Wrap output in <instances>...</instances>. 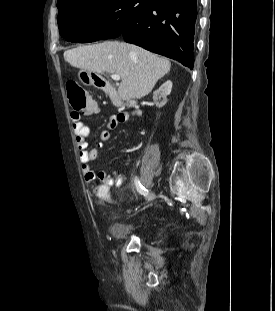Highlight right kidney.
Here are the masks:
<instances>
[{
    "instance_id": "1",
    "label": "right kidney",
    "mask_w": 275,
    "mask_h": 311,
    "mask_svg": "<svg viewBox=\"0 0 275 311\" xmlns=\"http://www.w3.org/2000/svg\"><path fill=\"white\" fill-rule=\"evenodd\" d=\"M172 82L167 80L165 83L161 85V87H156L153 92V104H156L158 108H163L165 105L169 103L167 99V95L171 93Z\"/></svg>"
}]
</instances>
